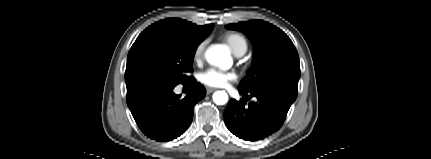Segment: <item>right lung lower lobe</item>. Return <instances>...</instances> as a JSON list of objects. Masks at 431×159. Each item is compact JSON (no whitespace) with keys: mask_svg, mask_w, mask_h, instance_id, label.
Returning <instances> with one entry per match:
<instances>
[{"mask_svg":"<svg viewBox=\"0 0 431 159\" xmlns=\"http://www.w3.org/2000/svg\"><path fill=\"white\" fill-rule=\"evenodd\" d=\"M178 84L192 87L184 98L173 92ZM205 95L204 86L194 78L184 82L156 78L127 87L126 101L141 131L153 140L167 142L186 131L195 104Z\"/></svg>","mask_w":431,"mask_h":159,"instance_id":"right-lung-lower-lobe-1","label":"right lung lower lobe"}]
</instances>
